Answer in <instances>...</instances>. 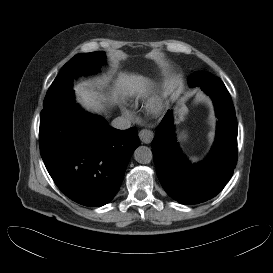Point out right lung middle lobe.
I'll use <instances>...</instances> for the list:
<instances>
[{"mask_svg": "<svg viewBox=\"0 0 273 273\" xmlns=\"http://www.w3.org/2000/svg\"><path fill=\"white\" fill-rule=\"evenodd\" d=\"M105 63V54L103 51L92 53H81L75 55L61 69L60 74L47 91L44 104L49 103L54 97L70 89L73 79L82 74L85 67L95 73Z\"/></svg>", "mask_w": 273, "mask_h": 273, "instance_id": "right-lung-middle-lobe-1", "label": "right lung middle lobe"}]
</instances>
